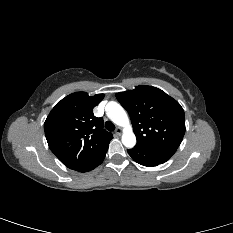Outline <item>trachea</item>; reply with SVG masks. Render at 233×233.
<instances>
[{
    "instance_id": "trachea-1",
    "label": "trachea",
    "mask_w": 233,
    "mask_h": 233,
    "mask_svg": "<svg viewBox=\"0 0 233 233\" xmlns=\"http://www.w3.org/2000/svg\"><path fill=\"white\" fill-rule=\"evenodd\" d=\"M105 127L108 131H114L115 125L111 121H106Z\"/></svg>"
}]
</instances>
